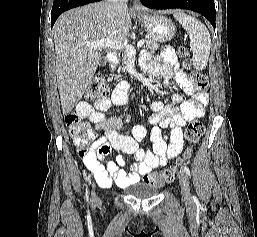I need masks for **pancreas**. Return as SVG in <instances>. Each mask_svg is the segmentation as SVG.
Segmentation results:
<instances>
[{"mask_svg": "<svg viewBox=\"0 0 257 237\" xmlns=\"http://www.w3.org/2000/svg\"><path fill=\"white\" fill-rule=\"evenodd\" d=\"M145 48L155 51L159 48V44L152 39H146L145 40ZM128 59H129V55L126 52H124L122 54V69H125Z\"/></svg>", "mask_w": 257, "mask_h": 237, "instance_id": "1", "label": "pancreas"}]
</instances>
